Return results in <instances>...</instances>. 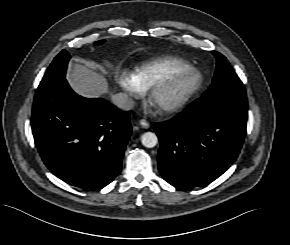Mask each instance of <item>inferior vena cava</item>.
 Here are the masks:
<instances>
[{
	"mask_svg": "<svg viewBox=\"0 0 290 245\" xmlns=\"http://www.w3.org/2000/svg\"><path fill=\"white\" fill-rule=\"evenodd\" d=\"M113 104L119 109L124 111H129L134 106V101L126 93H118L112 96L111 98Z\"/></svg>",
	"mask_w": 290,
	"mask_h": 245,
	"instance_id": "602c4592",
	"label": "inferior vena cava"
}]
</instances>
